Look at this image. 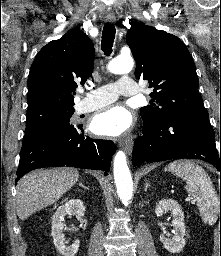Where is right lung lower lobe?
I'll use <instances>...</instances> for the list:
<instances>
[{
	"label": "right lung lower lobe",
	"instance_id": "98d812e1",
	"mask_svg": "<svg viewBox=\"0 0 221 256\" xmlns=\"http://www.w3.org/2000/svg\"><path fill=\"white\" fill-rule=\"evenodd\" d=\"M115 150L112 141L91 139L82 127L74 126L69 121L52 123L25 134L17 180L31 170L54 166L108 172Z\"/></svg>",
	"mask_w": 221,
	"mask_h": 256
}]
</instances>
